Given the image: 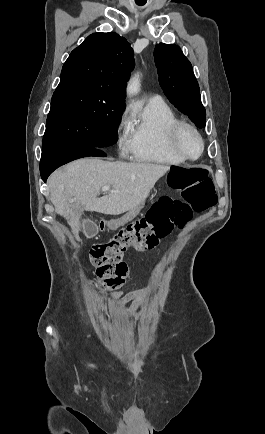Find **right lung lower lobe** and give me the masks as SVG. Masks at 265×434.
<instances>
[{
  "label": "right lung lower lobe",
  "instance_id": "98d812e1",
  "mask_svg": "<svg viewBox=\"0 0 265 434\" xmlns=\"http://www.w3.org/2000/svg\"><path fill=\"white\" fill-rule=\"evenodd\" d=\"M89 156L104 157L106 154L99 148L48 149L43 151L40 162L42 180L46 182L48 176L59 166L75 159Z\"/></svg>",
  "mask_w": 265,
  "mask_h": 434
}]
</instances>
